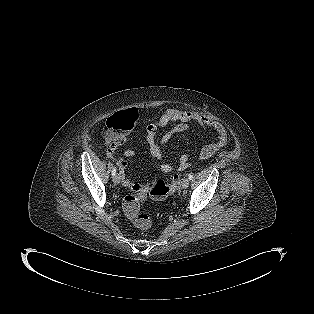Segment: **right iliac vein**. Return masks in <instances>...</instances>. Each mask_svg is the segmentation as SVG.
<instances>
[{
    "label": "right iliac vein",
    "instance_id": "1",
    "mask_svg": "<svg viewBox=\"0 0 314 314\" xmlns=\"http://www.w3.org/2000/svg\"><path fill=\"white\" fill-rule=\"evenodd\" d=\"M120 181H121L120 175H119V174L114 175V177H113V182H114L115 184H119Z\"/></svg>",
    "mask_w": 314,
    "mask_h": 314
}]
</instances>
